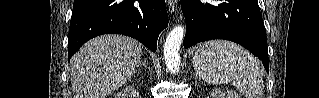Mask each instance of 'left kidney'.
<instances>
[{"instance_id":"obj_1","label":"left kidney","mask_w":319,"mask_h":98,"mask_svg":"<svg viewBox=\"0 0 319 98\" xmlns=\"http://www.w3.org/2000/svg\"><path fill=\"white\" fill-rule=\"evenodd\" d=\"M210 98H240V96L231 90L221 91L219 89H215L210 94Z\"/></svg>"}]
</instances>
